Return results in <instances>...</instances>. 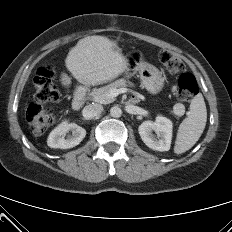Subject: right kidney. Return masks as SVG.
<instances>
[{
    "instance_id": "obj_1",
    "label": "right kidney",
    "mask_w": 232,
    "mask_h": 232,
    "mask_svg": "<svg viewBox=\"0 0 232 232\" xmlns=\"http://www.w3.org/2000/svg\"><path fill=\"white\" fill-rule=\"evenodd\" d=\"M69 131L72 134H67ZM85 135L84 128L75 123L63 122L50 133L47 144L50 148L69 149L77 146Z\"/></svg>"
}]
</instances>
